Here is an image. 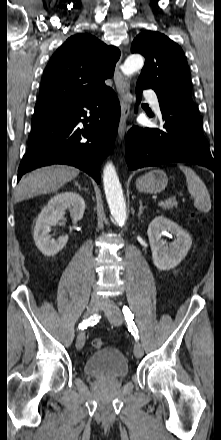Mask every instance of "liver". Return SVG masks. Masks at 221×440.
<instances>
[{"label":"liver","mask_w":221,"mask_h":440,"mask_svg":"<svg viewBox=\"0 0 221 440\" xmlns=\"http://www.w3.org/2000/svg\"><path fill=\"white\" fill-rule=\"evenodd\" d=\"M79 173V169L65 165L37 169L20 180L16 188V201L55 192Z\"/></svg>","instance_id":"obj_1"}]
</instances>
